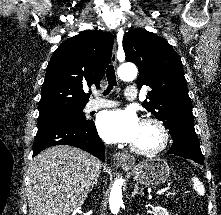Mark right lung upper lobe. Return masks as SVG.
Here are the masks:
<instances>
[{"label": "right lung upper lobe", "instance_id": "1", "mask_svg": "<svg viewBox=\"0 0 221 215\" xmlns=\"http://www.w3.org/2000/svg\"><path fill=\"white\" fill-rule=\"evenodd\" d=\"M114 37L101 30L83 31L63 42L47 66L39 102V116L85 107L84 89L99 88L111 60Z\"/></svg>", "mask_w": 221, "mask_h": 215}]
</instances>
